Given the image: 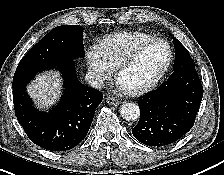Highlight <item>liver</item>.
Returning a JSON list of instances; mask_svg holds the SVG:
<instances>
[{
  "label": "liver",
  "mask_w": 224,
  "mask_h": 175,
  "mask_svg": "<svg viewBox=\"0 0 224 175\" xmlns=\"http://www.w3.org/2000/svg\"><path fill=\"white\" fill-rule=\"evenodd\" d=\"M56 73L39 75L28 87L27 92L40 108H47L57 102L60 94V79Z\"/></svg>",
  "instance_id": "1"
}]
</instances>
